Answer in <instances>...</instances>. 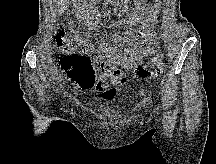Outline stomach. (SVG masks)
<instances>
[{
	"label": "stomach",
	"instance_id": "obj_1",
	"mask_svg": "<svg viewBox=\"0 0 216 164\" xmlns=\"http://www.w3.org/2000/svg\"><path fill=\"white\" fill-rule=\"evenodd\" d=\"M135 1V3H140V2H144V1H146V0H134Z\"/></svg>",
	"mask_w": 216,
	"mask_h": 164
}]
</instances>
